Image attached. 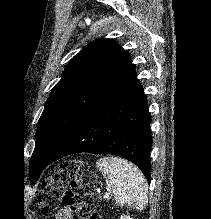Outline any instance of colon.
Instances as JSON below:
<instances>
[{"mask_svg": "<svg viewBox=\"0 0 211 219\" xmlns=\"http://www.w3.org/2000/svg\"><path fill=\"white\" fill-rule=\"evenodd\" d=\"M96 182L95 175L82 161L61 163L54 174L44 181L39 193L42 215L53 216L64 204L73 219H102L93 208L92 192Z\"/></svg>", "mask_w": 211, "mask_h": 219, "instance_id": "obj_1", "label": "colon"}]
</instances>
